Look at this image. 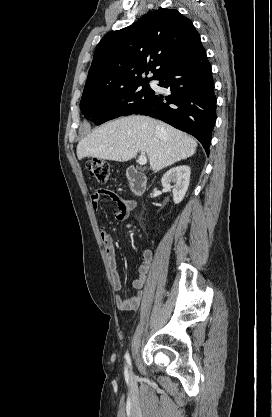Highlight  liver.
I'll list each match as a JSON object with an SVG mask.
<instances>
[{
  "label": "liver",
  "mask_w": 272,
  "mask_h": 417,
  "mask_svg": "<svg viewBox=\"0 0 272 417\" xmlns=\"http://www.w3.org/2000/svg\"><path fill=\"white\" fill-rule=\"evenodd\" d=\"M197 142L186 133L156 119L131 115L94 129L77 145V157L125 162L138 151L147 154L158 171L195 154Z\"/></svg>",
  "instance_id": "1"
}]
</instances>
